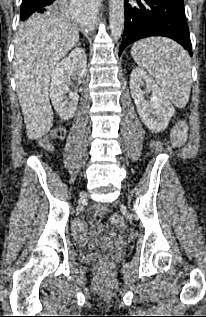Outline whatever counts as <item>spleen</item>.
<instances>
[{"mask_svg":"<svg viewBox=\"0 0 206 317\" xmlns=\"http://www.w3.org/2000/svg\"><path fill=\"white\" fill-rule=\"evenodd\" d=\"M131 55L176 107L186 106L191 89V59L185 49L169 39L152 37L136 42Z\"/></svg>","mask_w":206,"mask_h":317,"instance_id":"obj_1","label":"spleen"}]
</instances>
